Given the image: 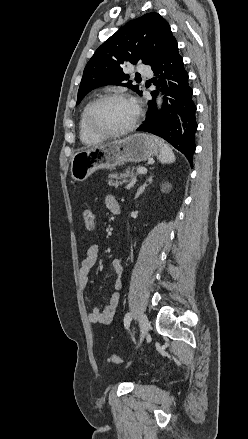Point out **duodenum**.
Wrapping results in <instances>:
<instances>
[{
  "mask_svg": "<svg viewBox=\"0 0 248 439\" xmlns=\"http://www.w3.org/2000/svg\"><path fill=\"white\" fill-rule=\"evenodd\" d=\"M115 213H116V214H119V213H120V209H117V210L115 211Z\"/></svg>",
  "mask_w": 248,
  "mask_h": 439,
  "instance_id": "obj_1",
  "label": "duodenum"
}]
</instances>
